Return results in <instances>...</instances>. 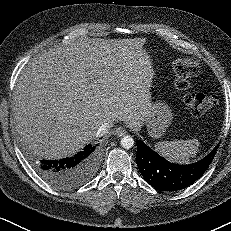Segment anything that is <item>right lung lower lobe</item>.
<instances>
[{"label":"right lung lower lobe","instance_id":"obj_1","mask_svg":"<svg viewBox=\"0 0 231 231\" xmlns=\"http://www.w3.org/2000/svg\"><path fill=\"white\" fill-rule=\"evenodd\" d=\"M98 148L91 144L72 157L60 160H40L35 163L37 173L59 189H74L88 181L99 165Z\"/></svg>","mask_w":231,"mask_h":231}]
</instances>
